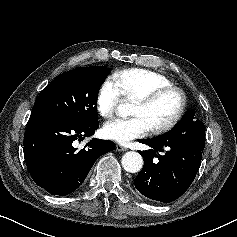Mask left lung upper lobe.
<instances>
[{
    "label": "left lung upper lobe",
    "instance_id": "left-lung-upper-lobe-1",
    "mask_svg": "<svg viewBox=\"0 0 237 237\" xmlns=\"http://www.w3.org/2000/svg\"><path fill=\"white\" fill-rule=\"evenodd\" d=\"M195 116V112L193 110L188 111L187 113H185V115L182 117V119L179 121V123L177 125H179L182 121H184L187 118H191ZM176 125V126H177ZM175 126V127H176Z\"/></svg>",
    "mask_w": 237,
    "mask_h": 237
}]
</instances>
